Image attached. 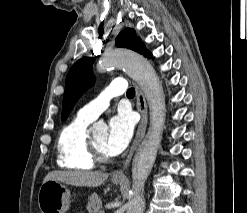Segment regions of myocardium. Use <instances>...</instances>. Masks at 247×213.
<instances>
[{
    "mask_svg": "<svg viewBox=\"0 0 247 213\" xmlns=\"http://www.w3.org/2000/svg\"><path fill=\"white\" fill-rule=\"evenodd\" d=\"M86 149H87L88 157L94 163H108L112 160L111 156H106L98 150L92 137L89 135H88L87 141H86Z\"/></svg>",
    "mask_w": 247,
    "mask_h": 213,
    "instance_id": "f54148a6",
    "label": "myocardium"
}]
</instances>
